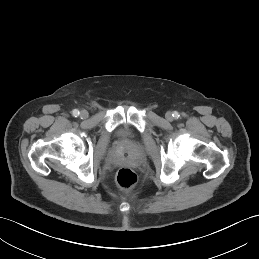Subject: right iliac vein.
<instances>
[{"mask_svg":"<svg viewBox=\"0 0 259 259\" xmlns=\"http://www.w3.org/2000/svg\"><path fill=\"white\" fill-rule=\"evenodd\" d=\"M88 112L86 111V110H82L81 112H80V117L82 118V119H86L87 117H88Z\"/></svg>","mask_w":259,"mask_h":259,"instance_id":"obj_1","label":"right iliac vein"}]
</instances>
